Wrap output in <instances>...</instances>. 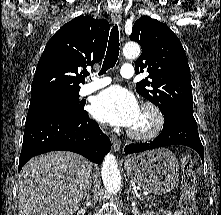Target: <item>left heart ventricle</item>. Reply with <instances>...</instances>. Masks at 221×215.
Here are the masks:
<instances>
[{"mask_svg": "<svg viewBox=\"0 0 221 215\" xmlns=\"http://www.w3.org/2000/svg\"><path fill=\"white\" fill-rule=\"evenodd\" d=\"M150 125L151 117L147 113L140 111L136 121L130 128L137 131H143L149 128Z\"/></svg>", "mask_w": 221, "mask_h": 215, "instance_id": "left-heart-ventricle-1", "label": "left heart ventricle"}]
</instances>
